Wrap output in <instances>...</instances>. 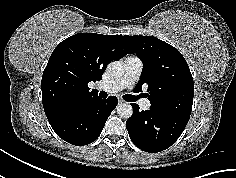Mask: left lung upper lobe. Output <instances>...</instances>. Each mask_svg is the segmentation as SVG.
Returning a JSON list of instances; mask_svg holds the SVG:
<instances>
[{"mask_svg": "<svg viewBox=\"0 0 236 178\" xmlns=\"http://www.w3.org/2000/svg\"><path fill=\"white\" fill-rule=\"evenodd\" d=\"M132 53L143 62L136 90L148 84L151 106L190 117L194 83L182 54L170 44L153 36H126Z\"/></svg>", "mask_w": 236, "mask_h": 178, "instance_id": "1", "label": "left lung upper lobe"}]
</instances>
